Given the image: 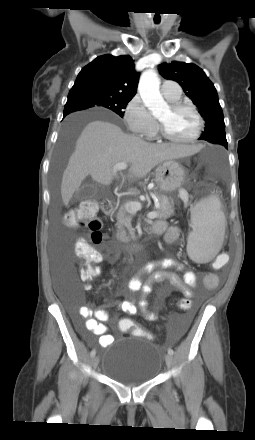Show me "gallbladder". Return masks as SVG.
I'll return each instance as SVG.
<instances>
[{
  "label": "gallbladder",
  "instance_id": "1",
  "mask_svg": "<svg viewBox=\"0 0 255 440\" xmlns=\"http://www.w3.org/2000/svg\"><path fill=\"white\" fill-rule=\"evenodd\" d=\"M96 194V185L93 183L86 182L81 188L75 193L74 200H85L94 197Z\"/></svg>",
  "mask_w": 255,
  "mask_h": 440
}]
</instances>
